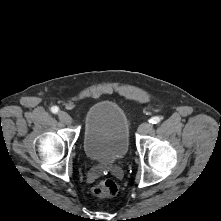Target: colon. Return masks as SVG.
Listing matches in <instances>:
<instances>
[{"label": "colon", "instance_id": "colon-1", "mask_svg": "<svg viewBox=\"0 0 221 221\" xmlns=\"http://www.w3.org/2000/svg\"><path fill=\"white\" fill-rule=\"evenodd\" d=\"M92 194L97 197H112L118 192V185L111 179L102 180L92 187Z\"/></svg>", "mask_w": 221, "mask_h": 221}]
</instances>
